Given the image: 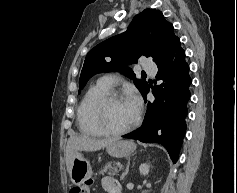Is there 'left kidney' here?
Returning a JSON list of instances; mask_svg holds the SVG:
<instances>
[{
  "instance_id": "left-kidney-1",
  "label": "left kidney",
  "mask_w": 237,
  "mask_h": 193,
  "mask_svg": "<svg viewBox=\"0 0 237 193\" xmlns=\"http://www.w3.org/2000/svg\"><path fill=\"white\" fill-rule=\"evenodd\" d=\"M149 168H150V166H149L148 164H145V163L141 164V165L139 166L140 174H142V175H148V173H149Z\"/></svg>"
}]
</instances>
